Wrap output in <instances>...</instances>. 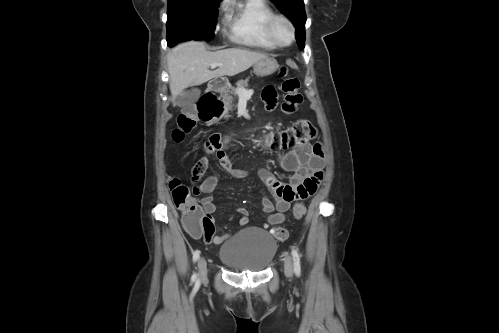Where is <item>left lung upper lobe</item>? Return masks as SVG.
<instances>
[{
  "instance_id": "1",
  "label": "left lung upper lobe",
  "mask_w": 499,
  "mask_h": 333,
  "mask_svg": "<svg viewBox=\"0 0 499 333\" xmlns=\"http://www.w3.org/2000/svg\"><path fill=\"white\" fill-rule=\"evenodd\" d=\"M296 26V40L299 49H303L305 41L304 25L306 15L303 0H271Z\"/></svg>"
}]
</instances>
